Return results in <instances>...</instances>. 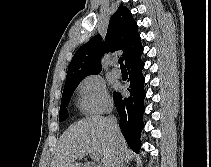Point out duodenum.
Wrapping results in <instances>:
<instances>
[{
    "instance_id": "obj_1",
    "label": "duodenum",
    "mask_w": 211,
    "mask_h": 167,
    "mask_svg": "<svg viewBox=\"0 0 211 167\" xmlns=\"http://www.w3.org/2000/svg\"><path fill=\"white\" fill-rule=\"evenodd\" d=\"M87 167H98V166L93 165V164H90V165H88Z\"/></svg>"
}]
</instances>
